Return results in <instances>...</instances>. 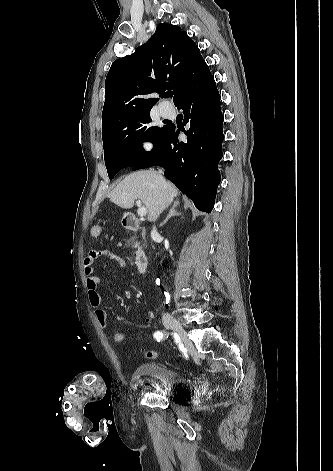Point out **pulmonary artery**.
<instances>
[{"instance_id":"obj_1","label":"pulmonary artery","mask_w":333,"mask_h":471,"mask_svg":"<svg viewBox=\"0 0 333 471\" xmlns=\"http://www.w3.org/2000/svg\"><path fill=\"white\" fill-rule=\"evenodd\" d=\"M159 110H160V113H161L163 116H170V115H172L173 112H174L173 107H172L171 105H169V104H166V103L160 104Z\"/></svg>"}]
</instances>
